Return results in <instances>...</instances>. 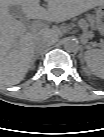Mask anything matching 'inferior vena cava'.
<instances>
[{
	"instance_id": "inferior-vena-cava-1",
	"label": "inferior vena cava",
	"mask_w": 104,
	"mask_h": 137,
	"mask_svg": "<svg viewBox=\"0 0 104 137\" xmlns=\"http://www.w3.org/2000/svg\"><path fill=\"white\" fill-rule=\"evenodd\" d=\"M47 46H48L47 43H40L35 49L36 56L39 54H42L45 51V49L47 48Z\"/></svg>"
}]
</instances>
